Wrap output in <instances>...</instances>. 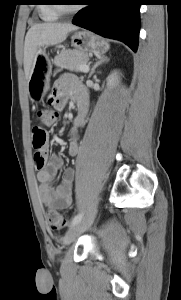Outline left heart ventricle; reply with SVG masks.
<instances>
[{
	"mask_svg": "<svg viewBox=\"0 0 181 300\" xmlns=\"http://www.w3.org/2000/svg\"><path fill=\"white\" fill-rule=\"evenodd\" d=\"M67 7H71V4H65Z\"/></svg>",
	"mask_w": 181,
	"mask_h": 300,
	"instance_id": "left-heart-ventricle-1",
	"label": "left heart ventricle"
}]
</instances>
